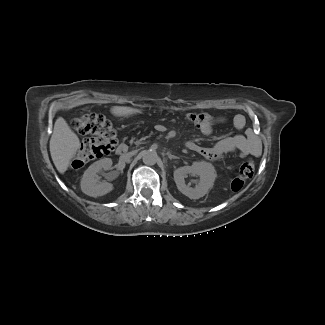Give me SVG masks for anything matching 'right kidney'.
<instances>
[{
    "label": "right kidney",
    "instance_id": "1",
    "mask_svg": "<svg viewBox=\"0 0 325 325\" xmlns=\"http://www.w3.org/2000/svg\"><path fill=\"white\" fill-rule=\"evenodd\" d=\"M112 166L110 158H104L94 162L84 172L81 179V190L88 196H103L113 190V185L108 182H98L97 173L102 169L109 170Z\"/></svg>",
    "mask_w": 325,
    "mask_h": 325
}]
</instances>
